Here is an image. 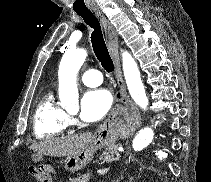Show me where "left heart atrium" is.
I'll return each instance as SVG.
<instances>
[{"label":"left heart atrium","mask_w":211,"mask_h":182,"mask_svg":"<svg viewBox=\"0 0 211 182\" xmlns=\"http://www.w3.org/2000/svg\"><path fill=\"white\" fill-rule=\"evenodd\" d=\"M113 100L106 89L87 91L81 101V119L92 123L101 120L110 110Z\"/></svg>","instance_id":"obj_1"}]
</instances>
